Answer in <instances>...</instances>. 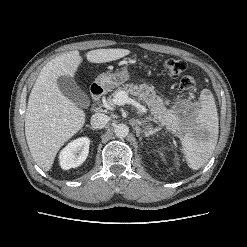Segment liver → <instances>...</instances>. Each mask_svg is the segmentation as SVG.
<instances>
[{"instance_id":"1","label":"liver","mask_w":247,"mask_h":247,"mask_svg":"<svg viewBox=\"0 0 247 247\" xmlns=\"http://www.w3.org/2000/svg\"><path fill=\"white\" fill-rule=\"evenodd\" d=\"M130 54L127 49H97L86 54L91 63H106ZM83 62L79 51L50 60L40 71L28 99L25 135L36 164L49 171L59 149L85 123V113L65 97L57 85L60 76L74 77Z\"/></svg>"}]
</instances>
